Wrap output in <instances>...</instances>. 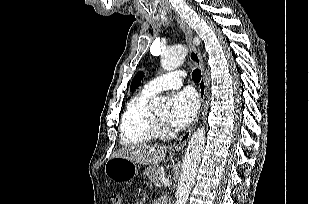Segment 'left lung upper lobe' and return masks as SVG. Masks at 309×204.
I'll return each mask as SVG.
<instances>
[{
    "mask_svg": "<svg viewBox=\"0 0 309 204\" xmlns=\"http://www.w3.org/2000/svg\"><path fill=\"white\" fill-rule=\"evenodd\" d=\"M144 76L143 72H138V74L134 77L133 81H132V85H131V88L130 90L131 91H134L135 88L138 87V85L140 84L141 82V78Z\"/></svg>",
    "mask_w": 309,
    "mask_h": 204,
    "instance_id": "left-lung-upper-lobe-1",
    "label": "left lung upper lobe"
}]
</instances>
